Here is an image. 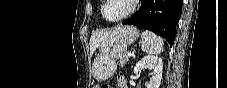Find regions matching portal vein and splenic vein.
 Wrapping results in <instances>:
<instances>
[{"mask_svg":"<svg viewBox=\"0 0 227 88\" xmlns=\"http://www.w3.org/2000/svg\"><path fill=\"white\" fill-rule=\"evenodd\" d=\"M127 55L130 57V56H132V54L129 52V53H127Z\"/></svg>","mask_w":227,"mask_h":88,"instance_id":"1","label":"portal vein and splenic vein"}]
</instances>
